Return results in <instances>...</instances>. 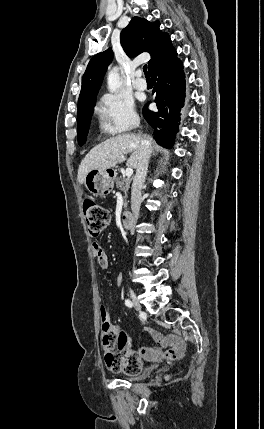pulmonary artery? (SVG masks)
Here are the masks:
<instances>
[{"instance_id":"e3ab8cb5","label":"pulmonary artery","mask_w":264,"mask_h":429,"mask_svg":"<svg viewBox=\"0 0 264 429\" xmlns=\"http://www.w3.org/2000/svg\"><path fill=\"white\" fill-rule=\"evenodd\" d=\"M141 76H142V73L140 71H137L134 86L138 90H145L147 88V83Z\"/></svg>"}]
</instances>
